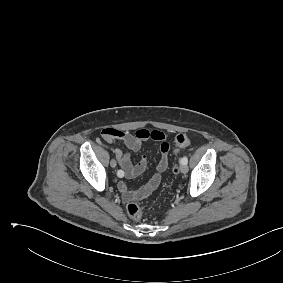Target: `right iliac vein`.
I'll use <instances>...</instances> for the list:
<instances>
[{
	"label": "right iliac vein",
	"mask_w": 283,
	"mask_h": 283,
	"mask_svg": "<svg viewBox=\"0 0 283 283\" xmlns=\"http://www.w3.org/2000/svg\"><path fill=\"white\" fill-rule=\"evenodd\" d=\"M110 166H111L112 168H115V167H116V161H115L114 159H112V160L110 161Z\"/></svg>",
	"instance_id": "1"
}]
</instances>
